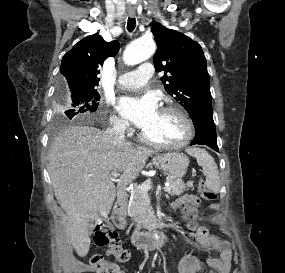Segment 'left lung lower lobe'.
<instances>
[{
	"mask_svg": "<svg viewBox=\"0 0 285 273\" xmlns=\"http://www.w3.org/2000/svg\"><path fill=\"white\" fill-rule=\"evenodd\" d=\"M195 126V138L191 145L202 144L219 151L217 146V135L213 121V112L195 114L192 117Z\"/></svg>",
	"mask_w": 285,
	"mask_h": 273,
	"instance_id": "left-lung-lower-lobe-1",
	"label": "left lung lower lobe"
}]
</instances>
